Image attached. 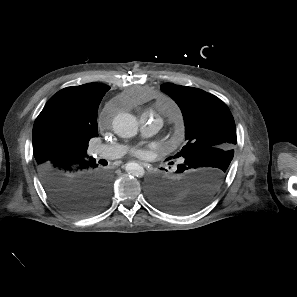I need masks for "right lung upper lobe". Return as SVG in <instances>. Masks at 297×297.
<instances>
[{
    "mask_svg": "<svg viewBox=\"0 0 297 297\" xmlns=\"http://www.w3.org/2000/svg\"><path fill=\"white\" fill-rule=\"evenodd\" d=\"M109 89L88 83L64 88L49 99L33 126L37 167L58 158L86 156L89 140L98 135L99 104Z\"/></svg>",
    "mask_w": 297,
    "mask_h": 297,
    "instance_id": "1",
    "label": "right lung upper lobe"
}]
</instances>
